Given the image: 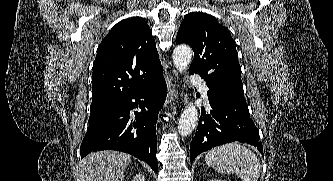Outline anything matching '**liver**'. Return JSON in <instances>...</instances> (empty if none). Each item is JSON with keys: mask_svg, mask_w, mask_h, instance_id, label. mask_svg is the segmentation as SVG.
Listing matches in <instances>:
<instances>
[{"mask_svg": "<svg viewBox=\"0 0 333 181\" xmlns=\"http://www.w3.org/2000/svg\"><path fill=\"white\" fill-rule=\"evenodd\" d=\"M130 162L131 156L123 152L90 153L79 163L80 181H122Z\"/></svg>", "mask_w": 333, "mask_h": 181, "instance_id": "liver-1", "label": "liver"}]
</instances>
